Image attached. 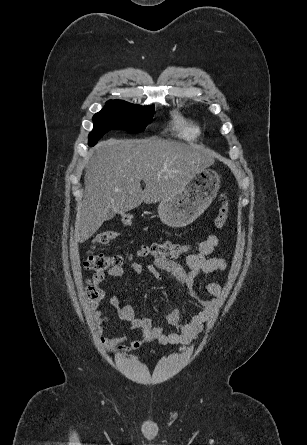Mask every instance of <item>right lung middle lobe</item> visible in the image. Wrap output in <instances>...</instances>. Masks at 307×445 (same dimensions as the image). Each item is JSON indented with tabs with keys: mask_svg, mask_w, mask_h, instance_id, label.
Here are the masks:
<instances>
[{
	"mask_svg": "<svg viewBox=\"0 0 307 445\" xmlns=\"http://www.w3.org/2000/svg\"><path fill=\"white\" fill-rule=\"evenodd\" d=\"M154 115L153 107H142L121 100H110L93 116V131L89 134V145L94 146L110 130L142 132Z\"/></svg>",
	"mask_w": 307,
	"mask_h": 445,
	"instance_id": "right-lung-middle-lobe-1",
	"label": "right lung middle lobe"
}]
</instances>
